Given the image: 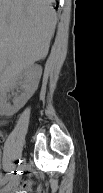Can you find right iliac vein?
Returning <instances> with one entry per match:
<instances>
[{"instance_id":"right-iliac-vein-1","label":"right iliac vein","mask_w":103,"mask_h":193,"mask_svg":"<svg viewBox=\"0 0 103 193\" xmlns=\"http://www.w3.org/2000/svg\"><path fill=\"white\" fill-rule=\"evenodd\" d=\"M25 168H26V164H25V162L23 161V162L19 165L18 171H17V173L14 175V177H13V179H12V181H11V186H13L15 183L18 182L19 177H20V174L23 172V170H24Z\"/></svg>"}]
</instances>
